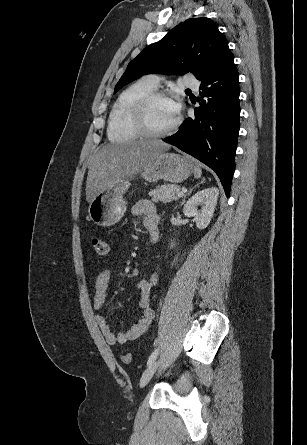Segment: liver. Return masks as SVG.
I'll list each match as a JSON object with an SVG mask.
<instances>
[{"mask_svg": "<svg viewBox=\"0 0 307 445\" xmlns=\"http://www.w3.org/2000/svg\"><path fill=\"white\" fill-rule=\"evenodd\" d=\"M162 140H131L124 144H105L95 154L86 180V200L91 202L101 190H105L120 178H133L140 170L153 164L156 156L170 148Z\"/></svg>", "mask_w": 307, "mask_h": 445, "instance_id": "obj_1", "label": "liver"}]
</instances>
